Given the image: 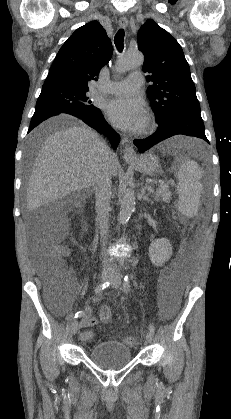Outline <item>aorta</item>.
<instances>
[{
    "instance_id": "obj_1",
    "label": "aorta",
    "mask_w": 231,
    "mask_h": 419,
    "mask_svg": "<svg viewBox=\"0 0 231 419\" xmlns=\"http://www.w3.org/2000/svg\"><path fill=\"white\" fill-rule=\"evenodd\" d=\"M144 62V56L141 52L136 51L128 53L119 58L116 63V70L124 73L134 67L141 66ZM135 207V193L132 189H127L121 200L120 220L122 223L127 222Z\"/></svg>"
}]
</instances>
